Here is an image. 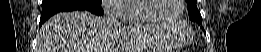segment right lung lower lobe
Returning a JSON list of instances; mask_svg holds the SVG:
<instances>
[{
	"mask_svg": "<svg viewBox=\"0 0 261 52\" xmlns=\"http://www.w3.org/2000/svg\"><path fill=\"white\" fill-rule=\"evenodd\" d=\"M73 10H88L96 15L104 14L100 5H94L82 0H43L39 27L52 15Z\"/></svg>",
	"mask_w": 261,
	"mask_h": 52,
	"instance_id": "98d812e1",
	"label": "right lung lower lobe"
}]
</instances>
